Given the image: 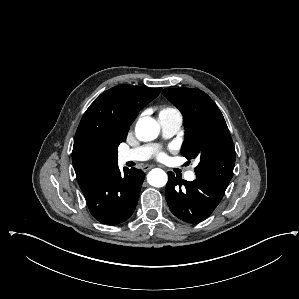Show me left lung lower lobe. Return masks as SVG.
I'll use <instances>...</instances> for the list:
<instances>
[{
    "label": "left lung lower lobe",
    "mask_w": 299,
    "mask_h": 299,
    "mask_svg": "<svg viewBox=\"0 0 299 299\" xmlns=\"http://www.w3.org/2000/svg\"><path fill=\"white\" fill-rule=\"evenodd\" d=\"M166 200L171 212L187 223H199L210 216L221 201L226 188L201 176L192 182L168 172Z\"/></svg>",
    "instance_id": "obj_1"
}]
</instances>
